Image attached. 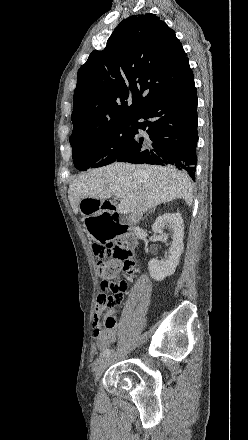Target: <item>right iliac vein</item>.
<instances>
[{
	"label": "right iliac vein",
	"instance_id": "1",
	"mask_svg": "<svg viewBox=\"0 0 248 440\" xmlns=\"http://www.w3.org/2000/svg\"><path fill=\"white\" fill-rule=\"evenodd\" d=\"M110 362H111L110 356L101 357L99 359L94 373L95 381H97L100 378V376L105 371V369L110 365Z\"/></svg>",
	"mask_w": 248,
	"mask_h": 440
}]
</instances>
